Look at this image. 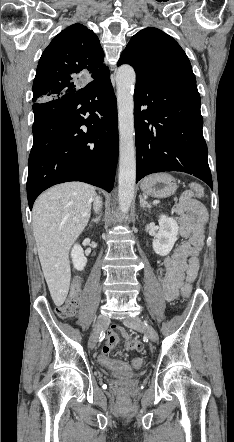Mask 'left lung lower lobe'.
Here are the masks:
<instances>
[{
  "label": "left lung lower lobe",
  "instance_id": "obj_1",
  "mask_svg": "<svg viewBox=\"0 0 234 442\" xmlns=\"http://www.w3.org/2000/svg\"><path fill=\"white\" fill-rule=\"evenodd\" d=\"M136 182L148 174L181 171L212 188L197 85L136 80Z\"/></svg>",
  "mask_w": 234,
  "mask_h": 442
}]
</instances>
